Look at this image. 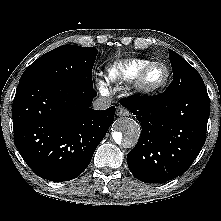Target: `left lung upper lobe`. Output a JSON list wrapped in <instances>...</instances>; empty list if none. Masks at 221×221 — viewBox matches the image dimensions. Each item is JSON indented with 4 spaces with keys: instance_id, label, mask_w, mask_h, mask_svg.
I'll use <instances>...</instances> for the list:
<instances>
[{
    "instance_id": "obj_1",
    "label": "left lung upper lobe",
    "mask_w": 221,
    "mask_h": 221,
    "mask_svg": "<svg viewBox=\"0 0 221 221\" xmlns=\"http://www.w3.org/2000/svg\"><path fill=\"white\" fill-rule=\"evenodd\" d=\"M169 57L173 69V82L163 93L169 98L192 91L206 90L200 74L180 55L169 49Z\"/></svg>"
}]
</instances>
